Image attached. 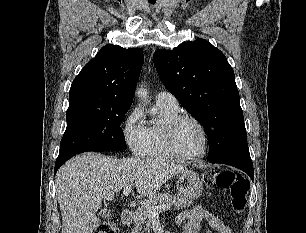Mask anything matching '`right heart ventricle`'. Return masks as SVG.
<instances>
[{
	"label": "right heart ventricle",
	"instance_id": "right-heart-ventricle-1",
	"mask_svg": "<svg viewBox=\"0 0 306 233\" xmlns=\"http://www.w3.org/2000/svg\"><path fill=\"white\" fill-rule=\"evenodd\" d=\"M160 121H151L147 126L146 155L154 159H170L174 156L168 149L165 137L167 123L179 115L178 107L173 108L163 104H156Z\"/></svg>",
	"mask_w": 306,
	"mask_h": 233
}]
</instances>
